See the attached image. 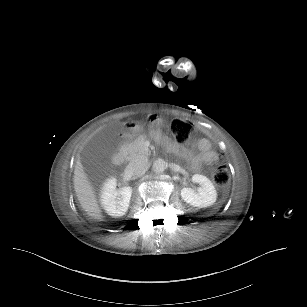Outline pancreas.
Returning a JSON list of instances; mask_svg holds the SVG:
<instances>
[{
	"label": "pancreas",
	"mask_w": 307,
	"mask_h": 307,
	"mask_svg": "<svg viewBox=\"0 0 307 307\" xmlns=\"http://www.w3.org/2000/svg\"><path fill=\"white\" fill-rule=\"evenodd\" d=\"M145 140H146V137L143 135L138 136L134 140V142L132 143L136 147V150L134 153L136 152L145 153L147 151L145 148Z\"/></svg>",
	"instance_id": "obj_1"
}]
</instances>
